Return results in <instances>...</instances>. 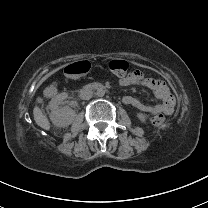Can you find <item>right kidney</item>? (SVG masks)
Returning <instances> with one entry per match:
<instances>
[{"label":"right kidney","mask_w":208,"mask_h":208,"mask_svg":"<svg viewBox=\"0 0 208 208\" xmlns=\"http://www.w3.org/2000/svg\"><path fill=\"white\" fill-rule=\"evenodd\" d=\"M68 98V93H60L55 95L49 103L51 109L50 119L57 128H63L72 124L76 117V113L69 106L60 107L65 104Z\"/></svg>","instance_id":"1"}]
</instances>
